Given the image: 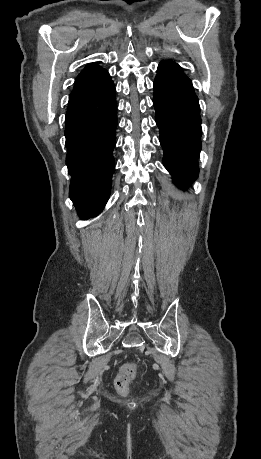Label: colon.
<instances>
[{
    "instance_id": "colon-1",
    "label": "colon",
    "mask_w": 261,
    "mask_h": 459,
    "mask_svg": "<svg viewBox=\"0 0 261 459\" xmlns=\"http://www.w3.org/2000/svg\"><path fill=\"white\" fill-rule=\"evenodd\" d=\"M137 365L135 363L125 364L119 371L115 379V389L121 395H126L128 392V383L135 373Z\"/></svg>"
}]
</instances>
